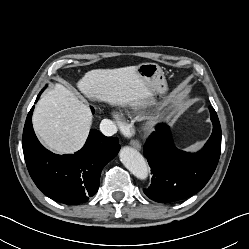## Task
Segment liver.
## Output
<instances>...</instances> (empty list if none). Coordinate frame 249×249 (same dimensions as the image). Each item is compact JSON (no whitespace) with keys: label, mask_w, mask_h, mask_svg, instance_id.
Here are the masks:
<instances>
[{"label":"liver","mask_w":249,"mask_h":249,"mask_svg":"<svg viewBox=\"0 0 249 249\" xmlns=\"http://www.w3.org/2000/svg\"><path fill=\"white\" fill-rule=\"evenodd\" d=\"M77 87L89 98L131 107L145 104L153 91L132 66L91 70ZM32 121L36 134L50 150L71 154L84 145L92 115L72 91L56 84L39 100Z\"/></svg>","instance_id":"obj_1"}]
</instances>
